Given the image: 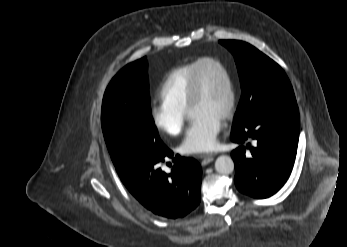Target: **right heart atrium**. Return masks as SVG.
Wrapping results in <instances>:
<instances>
[{
	"label": "right heart atrium",
	"instance_id": "1",
	"mask_svg": "<svg viewBox=\"0 0 347 247\" xmlns=\"http://www.w3.org/2000/svg\"><path fill=\"white\" fill-rule=\"evenodd\" d=\"M150 116L155 128L168 136H177L183 129L185 112L162 102L151 107Z\"/></svg>",
	"mask_w": 347,
	"mask_h": 247
}]
</instances>
